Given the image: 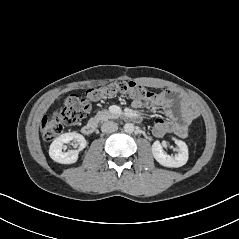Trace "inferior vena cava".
I'll return each mask as SVG.
<instances>
[{
	"label": "inferior vena cava",
	"mask_w": 239,
	"mask_h": 239,
	"mask_svg": "<svg viewBox=\"0 0 239 239\" xmlns=\"http://www.w3.org/2000/svg\"><path fill=\"white\" fill-rule=\"evenodd\" d=\"M118 130V126L113 121H106L101 126V131L104 133H112Z\"/></svg>",
	"instance_id": "obj_1"
}]
</instances>
